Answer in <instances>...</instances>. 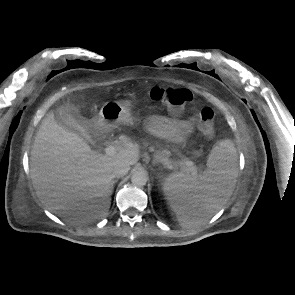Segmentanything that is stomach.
<instances>
[{"instance_id":"0dacf381","label":"stomach","mask_w":295,"mask_h":295,"mask_svg":"<svg viewBox=\"0 0 295 295\" xmlns=\"http://www.w3.org/2000/svg\"><path fill=\"white\" fill-rule=\"evenodd\" d=\"M135 118L127 104L117 101L106 102L95 121V126L104 130H112L113 128L125 124L134 125Z\"/></svg>"}]
</instances>
